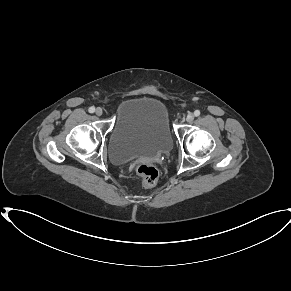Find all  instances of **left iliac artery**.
Returning <instances> with one entry per match:
<instances>
[{
	"mask_svg": "<svg viewBox=\"0 0 291 291\" xmlns=\"http://www.w3.org/2000/svg\"><path fill=\"white\" fill-rule=\"evenodd\" d=\"M194 115L197 117V116H199L200 115V111L199 110H195L194 111Z\"/></svg>",
	"mask_w": 291,
	"mask_h": 291,
	"instance_id": "obj_1",
	"label": "left iliac artery"
}]
</instances>
